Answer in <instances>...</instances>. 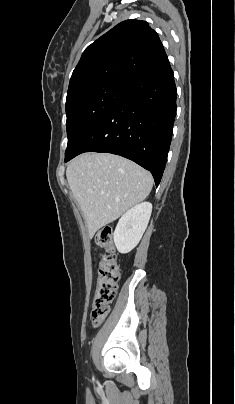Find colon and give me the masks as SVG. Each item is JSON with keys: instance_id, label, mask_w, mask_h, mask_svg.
Returning <instances> with one entry per match:
<instances>
[{"instance_id": "1", "label": "colon", "mask_w": 235, "mask_h": 404, "mask_svg": "<svg viewBox=\"0 0 235 404\" xmlns=\"http://www.w3.org/2000/svg\"><path fill=\"white\" fill-rule=\"evenodd\" d=\"M95 242L102 250V254L96 292L92 303L91 321L94 326H99L107 317L110 306L116 297L120 267L112 229L106 226L100 230L96 235Z\"/></svg>"}]
</instances>
